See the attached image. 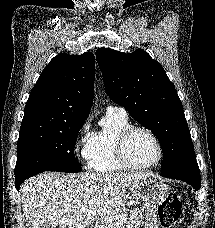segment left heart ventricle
Masks as SVG:
<instances>
[{
    "label": "left heart ventricle",
    "instance_id": "1",
    "mask_svg": "<svg viewBox=\"0 0 215 228\" xmlns=\"http://www.w3.org/2000/svg\"><path fill=\"white\" fill-rule=\"evenodd\" d=\"M126 153L131 164L142 166L153 162L157 150L152 139L142 131L134 132L126 145Z\"/></svg>",
    "mask_w": 215,
    "mask_h": 228
}]
</instances>
